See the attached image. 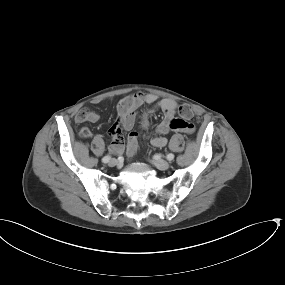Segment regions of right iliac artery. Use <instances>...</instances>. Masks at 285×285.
<instances>
[{"mask_svg":"<svg viewBox=\"0 0 285 285\" xmlns=\"http://www.w3.org/2000/svg\"><path fill=\"white\" fill-rule=\"evenodd\" d=\"M110 156L109 155H107V156H104L103 158H102V162H104V163H108L109 162V160H110Z\"/></svg>","mask_w":285,"mask_h":285,"instance_id":"82829eb1","label":"right iliac artery"}]
</instances>
